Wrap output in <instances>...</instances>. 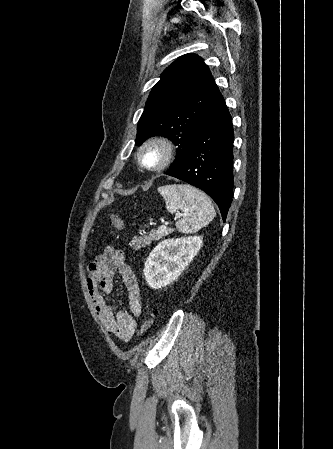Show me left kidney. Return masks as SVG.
I'll list each match as a JSON object with an SVG mask.
<instances>
[{"mask_svg": "<svg viewBox=\"0 0 333 449\" xmlns=\"http://www.w3.org/2000/svg\"><path fill=\"white\" fill-rule=\"evenodd\" d=\"M202 244V236L171 238L160 242L151 251L144 265L147 284L159 289L175 281Z\"/></svg>", "mask_w": 333, "mask_h": 449, "instance_id": "5707ae66", "label": "left kidney"}]
</instances>
